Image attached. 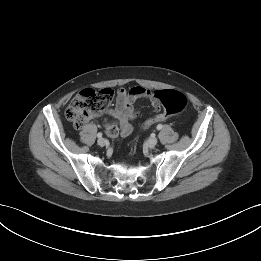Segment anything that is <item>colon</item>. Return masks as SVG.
<instances>
[{
    "label": "colon",
    "mask_w": 261,
    "mask_h": 261,
    "mask_svg": "<svg viewBox=\"0 0 261 261\" xmlns=\"http://www.w3.org/2000/svg\"><path fill=\"white\" fill-rule=\"evenodd\" d=\"M114 92L109 88H87L78 93L66 109L65 116L76 128L83 127L92 117L103 111L112 101ZM159 104L163 111L148 121V125L164 121L172 114L183 110L187 105L186 96L175 90H163L156 92ZM105 134L115 139L120 134V127L113 123L106 127Z\"/></svg>",
    "instance_id": "5ec220e1"
}]
</instances>
